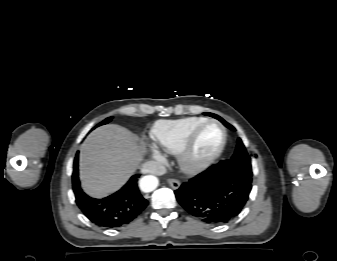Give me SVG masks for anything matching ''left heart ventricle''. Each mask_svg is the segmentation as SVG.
Segmentation results:
<instances>
[{
    "label": "left heart ventricle",
    "instance_id": "obj_1",
    "mask_svg": "<svg viewBox=\"0 0 337 261\" xmlns=\"http://www.w3.org/2000/svg\"><path fill=\"white\" fill-rule=\"evenodd\" d=\"M222 139V133L218 126L209 125L205 127L198 135L192 150V158L201 160L209 156L219 146Z\"/></svg>",
    "mask_w": 337,
    "mask_h": 261
}]
</instances>
